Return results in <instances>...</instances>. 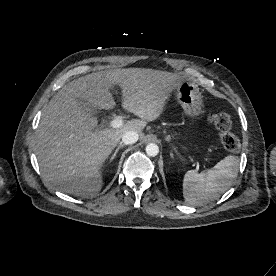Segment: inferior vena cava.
I'll return each instance as SVG.
<instances>
[{
    "label": "inferior vena cava",
    "mask_w": 276,
    "mask_h": 276,
    "mask_svg": "<svg viewBox=\"0 0 276 276\" xmlns=\"http://www.w3.org/2000/svg\"><path fill=\"white\" fill-rule=\"evenodd\" d=\"M139 134L136 131L129 130L122 135V142L124 144H134L138 141Z\"/></svg>",
    "instance_id": "inferior-vena-cava-1"
}]
</instances>
